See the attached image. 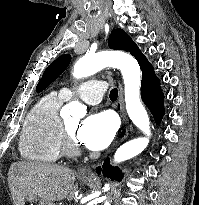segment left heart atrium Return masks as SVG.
<instances>
[{"instance_id": "1", "label": "left heart atrium", "mask_w": 199, "mask_h": 205, "mask_svg": "<svg viewBox=\"0 0 199 205\" xmlns=\"http://www.w3.org/2000/svg\"><path fill=\"white\" fill-rule=\"evenodd\" d=\"M116 130L115 117L109 112H99L83 120L77 129L76 138L88 149L99 151L111 143Z\"/></svg>"}]
</instances>
